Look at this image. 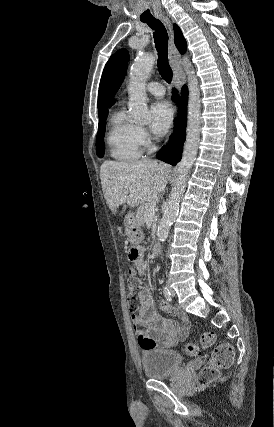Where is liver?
Masks as SVG:
<instances>
[{"mask_svg": "<svg viewBox=\"0 0 274 427\" xmlns=\"http://www.w3.org/2000/svg\"><path fill=\"white\" fill-rule=\"evenodd\" d=\"M170 168L151 160L142 162H103L100 180L104 198L113 214L122 204L130 208L154 202L164 192Z\"/></svg>", "mask_w": 274, "mask_h": 427, "instance_id": "liver-1", "label": "liver"}]
</instances>
